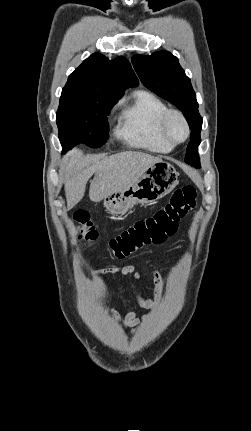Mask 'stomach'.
<instances>
[{
	"label": "stomach",
	"instance_id": "obj_1",
	"mask_svg": "<svg viewBox=\"0 0 251 431\" xmlns=\"http://www.w3.org/2000/svg\"><path fill=\"white\" fill-rule=\"evenodd\" d=\"M179 173L166 161L151 164L124 190L110 193L104 206L113 215H123L135 204H151L170 193L178 184Z\"/></svg>",
	"mask_w": 251,
	"mask_h": 431
}]
</instances>
